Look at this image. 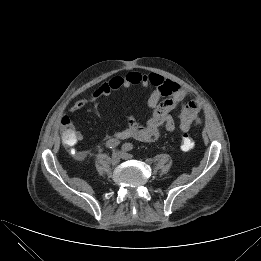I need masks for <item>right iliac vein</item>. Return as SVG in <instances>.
Instances as JSON below:
<instances>
[{
    "label": "right iliac vein",
    "instance_id": "63e3f726",
    "mask_svg": "<svg viewBox=\"0 0 261 261\" xmlns=\"http://www.w3.org/2000/svg\"><path fill=\"white\" fill-rule=\"evenodd\" d=\"M120 153L119 152H113L112 155H111V158H110V163L112 165H117L119 162H120Z\"/></svg>",
    "mask_w": 261,
    "mask_h": 261
}]
</instances>
